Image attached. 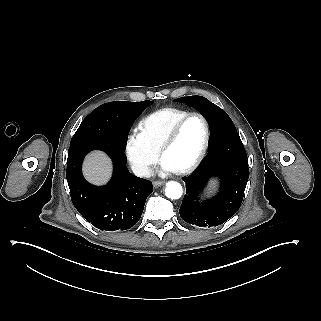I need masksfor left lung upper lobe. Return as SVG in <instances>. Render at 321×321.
I'll list each match as a JSON object with an SVG mask.
<instances>
[{
  "label": "left lung upper lobe",
  "instance_id": "obj_1",
  "mask_svg": "<svg viewBox=\"0 0 321 321\" xmlns=\"http://www.w3.org/2000/svg\"><path fill=\"white\" fill-rule=\"evenodd\" d=\"M179 100L194 106L208 121L210 126V140L221 135L237 132L230 117L221 108L202 96L182 97Z\"/></svg>",
  "mask_w": 321,
  "mask_h": 321
}]
</instances>
